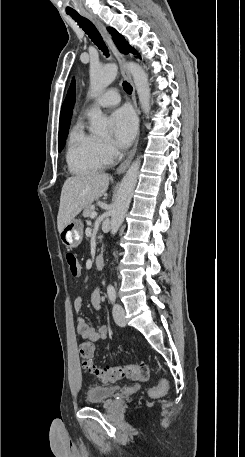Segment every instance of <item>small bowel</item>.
<instances>
[{
  "label": "small bowel",
  "instance_id": "c3829d8e",
  "mask_svg": "<svg viewBox=\"0 0 245 457\" xmlns=\"http://www.w3.org/2000/svg\"><path fill=\"white\" fill-rule=\"evenodd\" d=\"M90 301H91L92 306L95 309L100 308L101 295H100L99 288H96L92 292ZM81 307H82V299L78 297L74 300V308L77 312H79L81 310ZM77 331L82 338L92 341V342L107 339L108 333H109V330L106 326H101L99 329L96 330L93 327H91L89 325V323L83 318L78 319Z\"/></svg>",
  "mask_w": 245,
  "mask_h": 457
}]
</instances>
